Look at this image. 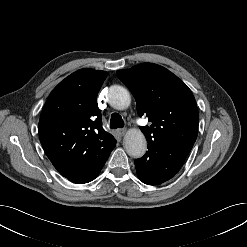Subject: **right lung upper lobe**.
<instances>
[{"label":"right lung upper lobe","instance_id":"cb5924a9","mask_svg":"<svg viewBox=\"0 0 247 247\" xmlns=\"http://www.w3.org/2000/svg\"><path fill=\"white\" fill-rule=\"evenodd\" d=\"M106 77L105 71L78 70L62 80L45 103L39 138L62 175L103 157L116 145L115 138L102 128L97 105Z\"/></svg>","mask_w":247,"mask_h":247}]
</instances>
